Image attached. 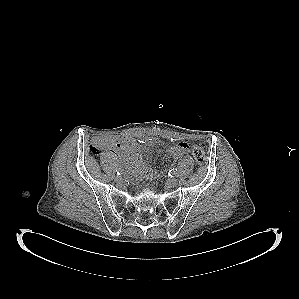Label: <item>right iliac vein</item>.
I'll return each mask as SVG.
<instances>
[{
	"label": "right iliac vein",
	"instance_id": "1",
	"mask_svg": "<svg viewBox=\"0 0 299 299\" xmlns=\"http://www.w3.org/2000/svg\"><path fill=\"white\" fill-rule=\"evenodd\" d=\"M115 181L118 183H122L123 182V178L121 176H116L115 177Z\"/></svg>",
	"mask_w": 299,
	"mask_h": 299
}]
</instances>
